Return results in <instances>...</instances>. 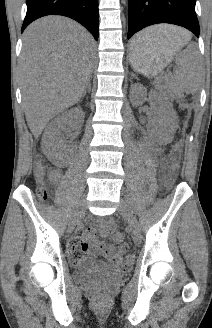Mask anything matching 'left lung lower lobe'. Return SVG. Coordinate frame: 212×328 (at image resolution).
Wrapping results in <instances>:
<instances>
[{
    "label": "left lung lower lobe",
    "mask_w": 212,
    "mask_h": 328,
    "mask_svg": "<svg viewBox=\"0 0 212 328\" xmlns=\"http://www.w3.org/2000/svg\"><path fill=\"white\" fill-rule=\"evenodd\" d=\"M195 3L196 0H128V39L141 29L158 23L185 27L199 37ZM132 47L140 48V43L134 42Z\"/></svg>",
    "instance_id": "0a47b994"
}]
</instances>
